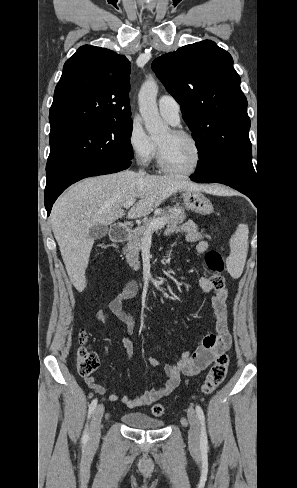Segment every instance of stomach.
I'll use <instances>...</instances> for the list:
<instances>
[{"label": "stomach", "mask_w": 297, "mask_h": 488, "mask_svg": "<svg viewBox=\"0 0 297 488\" xmlns=\"http://www.w3.org/2000/svg\"><path fill=\"white\" fill-rule=\"evenodd\" d=\"M182 196L185 208L201 215H209L213 212L210 200L202 192L183 190Z\"/></svg>", "instance_id": "obj_1"}]
</instances>
